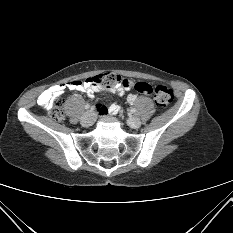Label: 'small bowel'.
<instances>
[{
	"label": "small bowel",
	"instance_id": "1",
	"mask_svg": "<svg viewBox=\"0 0 233 233\" xmlns=\"http://www.w3.org/2000/svg\"><path fill=\"white\" fill-rule=\"evenodd\" d=\"M92 83L90 81H70L63 84L55 85L45 91H43L37 98V103L42 108L50 109L53 105V97L56 95H59L63 93L66 89L73 90V91H81L85 92L88 97L92 98L95 93L101 92L104 90L103 87L91 85ZM133 83L131 82V85ZM131 85L129 87H124L122 85H116L113 87L108 88V90L114 94H117L119 96L123 95L125 90L131 88ZM136 100V95L130 94L128 96V102L134 103ZM121 107L118 104H111L110 106H104L102 104H99L97 106V112L100 116H104L106 114L116 115L120 112Z\"/></svg>",
	"mask_w": 233,
	"mask_h": 233
}]
</instances>
